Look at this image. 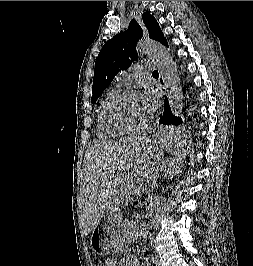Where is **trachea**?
<instances>
[{
	"instance_id": "obj_1",
	"label": "trachea",
	"mask_w": 253,
	"mask_h": 266,
	"mask_svg": "<svg viewBox=\"0 0 253 266\" xmlns=\"http://www.w3.org/2000/svg\"><path fill=\"white\" fill-rule=\"evenodd\" d=\"M152 74H153V75H158L159 73H158L157 70H155Z\"/></svg>"
}]
</instances>
